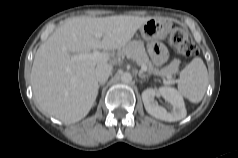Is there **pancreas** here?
Here are the masks:
<instances>
[{"label": "pancreas", "instance_id": "1", "mask_svg": "<svg viewBox=\"0 0 238 158\" xmlns=\"http://www.w3.org/2000/svg\"><path fill=\"white\" fill-rule=\"evenodd\" d=\"M118 53L121 56H127L136 61V63L141 67L146 66L148 74L162 77L164 84L170 85L174 83L172 74L176 67L175 62L173 61L170 65L161 70L156 69L150 61L142 41H131L122 47Z\"/></svg>", "mask_w": 238, "mask_h": 158}]
</instances>
